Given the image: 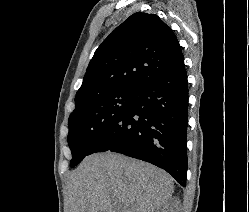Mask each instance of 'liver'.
Returning <instances> with one entry per match:
<instances>
[{
  "label": "liver",
  "instance_id": "liver-1",
  "mask_svg": "<svg viewBox=\"0 0 249 212\" xmlns=\"http://www.w3.org/2000/svg\"><path fill=\"white\" fill-rule=\"evenodd\" d=\"M173 192V178L152 164L92 154L68 178L67 212H168Z\"/></svg>",
  "mask_w": 249,
  "mask_h": 212
}]
</instances>
